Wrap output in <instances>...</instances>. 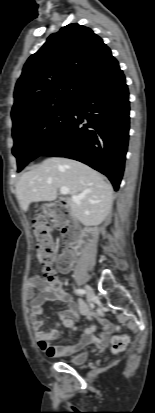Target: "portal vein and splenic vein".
Here are the masks:
<instances>
[{
	"label": "portal vein and splenic vein",
	"instance_id": "obj_1",
	"mask_svg": "<svg viewBox=\"0 0 155 413\" xmlns=\"http://www.w3.org/2000/svg\"><path fill=\"white\" fill-rule=\"evenodd\" d=\"M60 193L62 195H67V194H69V189L67 187L63 186V187L60 188ZM72 199L76 201V200L81 199V196L72 195Z\"/></svg>",
	"mask_w": 155,
	"mask_h": 413
}]
</instances>
